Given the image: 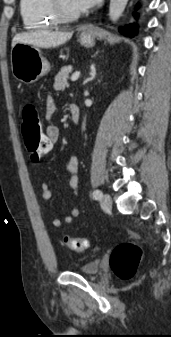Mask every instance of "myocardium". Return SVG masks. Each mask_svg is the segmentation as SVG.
I'll use <instances>...</instances> for the list:
<instances>
[{"label": "myocardium", "mask_w": 171, "mask_h": 337, "mask_svg": "<svg viewBox=\"0 0 171 337\" xmlns=\"http://www.w3.org/2000/svg\"><path fill=\"white\" fill-rule=\"evenodd\" d=\"M53 12L60 22H72L79 19L82 11H70L65 7L62 0H51Z\"/></svg>", "instance_id": "myocardium-1"}]
</instances>
